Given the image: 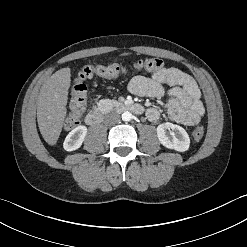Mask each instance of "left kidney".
Returning <instances> with one entry per match:
<instances>
[{
    "instance_id": "5707ae66",
    "label": "left kidney",
    "mask_w": 247,
    "mask_h": 247,
    "mask_svg": "<svg viewBox=\"0 0 247 247\" xmlns=\"http://www.w3.org/2000/svg\"><path fill=\"white\" fill-rule=\"evenodd\" d=\"M160 143L168 149L185 152L189 149L190 139L187 132L179 125L163 123L157 127Z\"/></svg>"
}]
</instances>
